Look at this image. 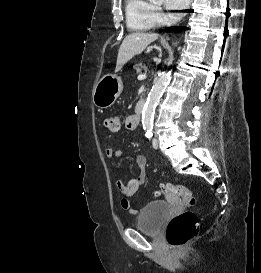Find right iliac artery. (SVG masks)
<instances>
[{"label": "right iliac artery", "instance_id": "1", "mask_svg": "<svg viewBox=\"0 0 261 273\" xmlns=\"http://www.w3.org/2000/svg\"><path fill=\"white\" fill-rule=\"evenodd\" d=\"M145 136L148 137V131H147V133L145 134ZM148 138H149V137H148Z\"/></svg>", "mask_w": 261, "mask_h": 273}]
</instances>
